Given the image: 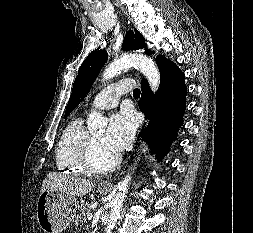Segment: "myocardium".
I'll list each match as a JSON object with an SVG mask.
<instances>
[{
    "label": "myocardium",
    "mask_w": 253,
    "mask_h": 233,
    "mask_svg": "<svg viewBox=\"0 0 253 233\" xmlns=\"http://www.w3.org/2000/svg\"><path fill=\"white\" fill-rule=\"evenodd\" d=\"M96 154L97 144L93 136L89 135L81 153V163L89 172H106L113 169L119 162L118 155H114L105 161H100Z\"/></svg>",
    "instance_id": "obj_1"
}]
</instances>
